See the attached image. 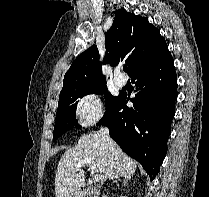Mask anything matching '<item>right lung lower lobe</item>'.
<instances>
[{"mask_svg": "<svg viewBox=\"0 0 209 197\" xmlns=\"http://www.w3.org/2000/svg\"><path fill=\"white\" fill-rule=\"evenodd\" d=\"M131 79L137 91L135 98L130 99L133 107L126 106L129 96L120 93L97 125L107 126L110 137L153 180L167 153L177 98V76L171 53L167 50L133 73Z\"/></svg>", "mask_w": 209, "mask_h": 197, "instance_id": "obj_1", "label": "right lung lower lobe"}]
</instances>
